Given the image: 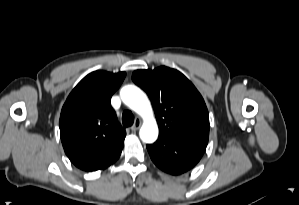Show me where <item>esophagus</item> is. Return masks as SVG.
Masks as SVG:
<instances>
[{"label": "esophagus", "mask_w": 299, "mask_h": 205, "mask_svg": "<svg viewBox=\"0 0 299 205\" xmlns=\"http://www.w3.org/2000/svg\"><path fill=\"white\" fill-rule=\"evenodd\" d=\"M141 126V120L140 119H136L133 126L131 127V131L135 132L137 131Z\"/></svg>", "instance_id": "obj_1"}]
</instances>
